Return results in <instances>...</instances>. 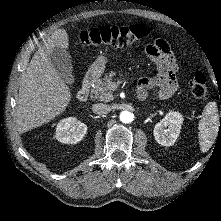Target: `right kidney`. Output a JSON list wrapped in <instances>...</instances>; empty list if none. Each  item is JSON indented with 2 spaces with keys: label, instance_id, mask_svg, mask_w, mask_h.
<instances>
[{
  "label": "right kidney",
  "instance_id": "1",
  "mask_svg": "<svg viewBox=\"0 0 221 221\" xmlns=\"http://www.w3.org/2000/svg\"><path fill=\"white\" fill-rule=\"evenodd\" d=\"M87 132V125L74 117L61 120L57 127L55 138L61 143L75 144L79 142Z\"/></svg>",
  "mask_w": 221,
  "mask_h": 221
}]
</instances>
